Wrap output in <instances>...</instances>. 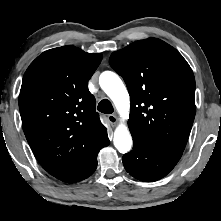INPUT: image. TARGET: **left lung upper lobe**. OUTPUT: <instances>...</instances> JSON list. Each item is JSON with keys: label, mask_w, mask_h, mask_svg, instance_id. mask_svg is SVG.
Here are the masks:
<instances>
[{"label": "left lung upper lobe", "mask_w": 221, "mask_h": 221, "mask_svg": "<svg viewBox=\"0 0 221 221\" xmlns=\"http://www.w3.org/2000/svg\"><path fill=\"white\" fill-rule=\"evenodd\" d=\"M109 63L131 97V134L153 147L183 153L195 117V79L182 55L149 38L113 52Z\"/></svg>", "instance_id": "1"}]
</instances>
